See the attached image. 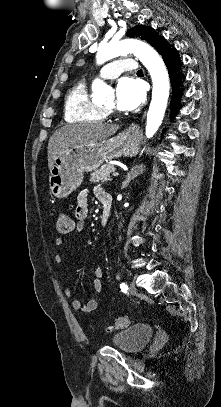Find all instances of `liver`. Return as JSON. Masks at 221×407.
I'll list each match as a JSON object with an SVG mask.
<instances>
[{"label": "liver", "instance_id": "liver-1", "mask_svg": "<svg viewBox=\"0 0 221 407\" xmlns=\"http://www.w3.org/2000/svg\"><path fill=\"white\" fill-rule=\"evenodd\" d=\"M119 129L115 124L79 123L66 125L56 130L48 143V167L53 166L55 158L63 151L79 144H89L107 139Z\"/></svg>", "mask_w": 221, "mask_h": 407}]
</instances>
